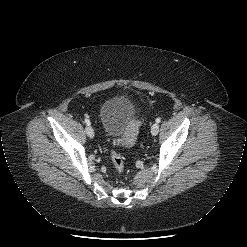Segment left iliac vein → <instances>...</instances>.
<instances>
[{"instance_id": "obj_1", "label": "left iliac vein", "mask_w": 247, "mask_h": 247, "mask_svg": "<svg viewBox=\"0 0 247 247\" xmlns=\"http://www.w3.org/2000/svg\"><path fill=\"white\" fill-rule=\"evenodd\" d=\"M158 132H159V125H158V123H154L151 127V134L153 136H156L158 134Z\"/></svg>"}]
</instances>
